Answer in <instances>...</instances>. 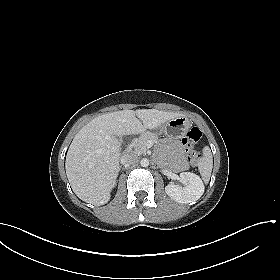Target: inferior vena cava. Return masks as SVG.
I'll return each instance as SVG.
<instances>
[{
	"label": "inferior vena cava",
	"mask_w": 280,
	"mask_h": 280,
	"mask_svg": "<svg viewBox=\"0 0 280 280\" xmlns=\"http://www.w3.org/2000/svg\"><path fill=\"white\" fill-rule=\"evenodd\" d=\"M139 161L138 156L133 153H126L121 156L120 163L122 165H133Z\"/></svg>",
	"instance_id": "inferior-vena-cava-1"
}]
</instances>
